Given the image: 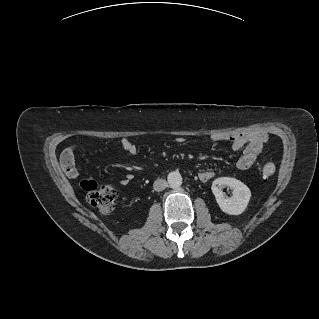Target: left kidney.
Masks as SVG:
<instances>
[{
	"label": "left kidney",
	"mask_w": 319,
	"mask_h": 319,
	"mask_svg": "<svg viewBox=\"0 0 319 319\" xmlns=\"http://www.w3.org/2000/svg\"><path fill=\"white\" fill-rule=\"evenodd\" d=\"M232 191V196L228 197L224 188ZM211 190L216 198L220 209L229 215H239L243 213L251 198V191L240 180L231 177H220L213 181Z\"/></svg>",
	"instance_id": "left-kidney-1"
}]
</instances>
